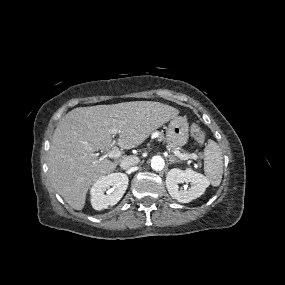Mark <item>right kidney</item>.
I'll return each instance as SVG.
<instances>
[{
  "label": "right kidney",
  "instance_id": "obj_1",
  "mask_svg": "<svg viewBox=\"0 0 285 285\" xmlns=\"http://www.w3.org/2000/svg\"><path fill=\"white\" fill-rule=\"evenodd\" d=\"M127 187L128 176L126 174L111 173L100 177L90 191L92 207L95 210H102L117 204Z\"/></svg>",
  "mask_w": 285,
  "mask_h": 285
}]
</instances>
